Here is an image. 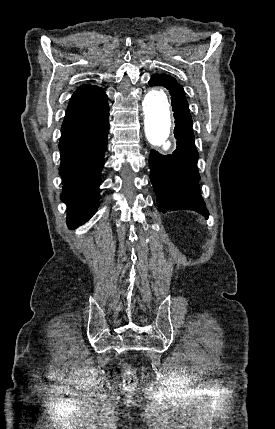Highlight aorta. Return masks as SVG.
<instances>
[{
  "label": "aorta",
  "instance_id": "1",
  "mask_svg": "<svg viewBox=\"0 0 275 429\" xmlns=\"http://www.w3.org/2000/svg\"><path fill=\"white\" fill-rule=\"evenodd\" d=\"M143 111L148 141L168 150L171 145L172 112L167 91L162 87L150 88L144 96Z\"/></svg>",
  "mask_w": 275,
  "mask_h": 429
}]
</instances>
